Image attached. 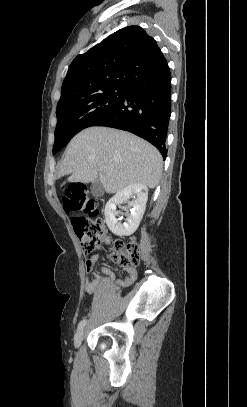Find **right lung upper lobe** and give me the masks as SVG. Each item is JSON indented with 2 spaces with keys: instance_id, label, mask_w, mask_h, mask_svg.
Listing matches in <instances>:
<instances>
[{
  "instance_id": "cb5924a9",
  "label": "right lung upper lobe",
  "mask_w": 247,
  "mask_h": 407,
  "mask_svg": "<svg viewBox=\"0 0 247 407\" xmlns=\"http://www.w3.org/2000/svg\"><path fill=\"white\" fill-rule=\"evenodd\" d=\"M166 62L156 41L144 29L122 28L72 61L57 107L106 88L127 87Z\"/></svg>"
}]
</instances>
